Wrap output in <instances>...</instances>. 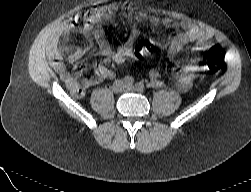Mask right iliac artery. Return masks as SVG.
Masks as SVG:
<instances>
[{
  "label": "right iliac artery",
  "instance_id": "right-iliac-artery-1",
  "mask_svg": "<svg viewBox=\"0 0 251 192\" xmlns=\"http://www.w3.org/2000/svg\"><path fill=\"white\" fill-rule=\"evenodd\" d=\"M123 80H124L125 85H128V86L133 85L134 83V78L131 76H126Z\"/></svg>",
  "mask_w": 251,
  "mask_h": 192
}]
</instances>
